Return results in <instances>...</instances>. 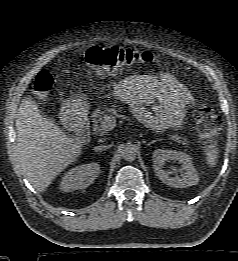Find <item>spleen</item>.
I'll list each match as a JSON object with an SVG mask.
<instances>
[{"instance_id":"3e777b00","label":"spleen","mask_w":238,"mask_h":261,"mask_svg":"<svg viewBox=\"0 0 238 261\" xmlns=\"http://www.w3.org/2000/svg\"><path fill=\"white\" fill-rule=\"evenodd\" d=\"M207 164L214 167L217 164L218 151L214 146H210L205 152Z\"/></svg>"}]
</instances>
